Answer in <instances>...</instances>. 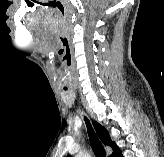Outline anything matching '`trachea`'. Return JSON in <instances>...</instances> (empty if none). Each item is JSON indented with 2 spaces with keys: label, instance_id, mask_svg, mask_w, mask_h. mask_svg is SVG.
Listing matches in <instances>:
<instances>
[{
  "label": "trachea",
  "instance_id": "trachea-1",
  "mask_svg": "<svg viewBox=\"0 0 164 157\" xmlns=\"http://www.w3.org/2000/svg\"><path fill=\"white\" fill-rule=\"evenodd\" d=\"M84 119H85L87 130H88L90 144H91V147H92L95 155L97 157H106L105 150H104L101 142L99 141V139L95 135V133L92 129V126L90 124V121L86 117Z\"/></svg>",
  "mask_w": 164,
  "mask_h": 157
}]
</instances>
